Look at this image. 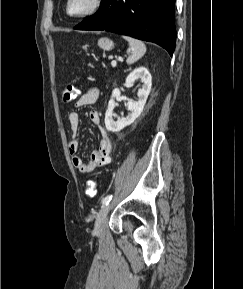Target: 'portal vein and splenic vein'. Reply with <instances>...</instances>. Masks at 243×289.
<instances>
[{"mask_svg": "<svg viewBox=\"0 0 243 289\" xmlns=\"http://www.w3.org/2000/svg\"><path fill=\"white\" fill-rule=\"evenodd\" d=\"M116 64H117V61H116V60H113V61L111 62V65H112V66H116Z\"/></svg>", "mask_w": 243, "mask_h": 289, "instance_id": "1", "label": "portal vein and splenic vein"}]
</instances>
